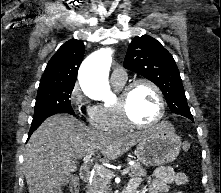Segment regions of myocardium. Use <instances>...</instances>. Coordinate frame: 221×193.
I'll use <instances>...</instances> for the list:
<instances>
[{
    "mask_svg": "<svg viewBox=\"0 0 221 193\" xmlns=\"http://www.w3.org/2000/svg\"><path fill=\"white\" fill-rule=\"evenodd\" d=\"M139 85H147L150 88H152L159 102V110H158L156 117L150 123H146V124L135 121L132 118L130 111H129V100H130L131 93L133 89ZM116 105H117V108H118V111H119V114L121 116L123 123L127 127L136 128V129H149V128H153L157 126L162 121L165 115V107H166L165 97L160 87L152 80L145 79V78L136 79L124 85L123 88L120 90L118 99L116 101Z\"/></svg>",
    "mask_w": 221,
    "mask_h": 193,
    "instance_id": "f54148a6",
    "label": "myocardium"
}]
</instances>
